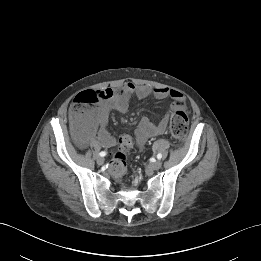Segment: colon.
I'll return each instance as SVG.
<instances>
[{
    "label": "colon",
    "instance_id": "1",
    "mask_svg": "<svg viewBox=\"0 0 261 261\" xmlns=\"http://www.w3.org/2000/svg\"><path fill=\"white\" fill-rule=\"evenodd\" d=\"M92 104L85 99L84 95L78 96L71 105V117L74 125L81 128L87 116L93 112ZM189 120L186 112L177 111L171 118L170 131L172 136L179 142L184 141L188 133ZM133 147V140L128 135H121L114 152L110 170L114 175H122L126 171L127 162L125 153Z\"/></svg>",
    "mask_w": 261,
    "mask_h": 261
}]
</instances>
